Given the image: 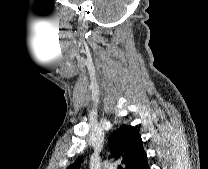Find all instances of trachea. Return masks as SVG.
<instances>
[{
    "label": "trachea",
    "instance_id": "trachea-1",
    "mask_svg": "<svg viewBox=\"0 0 208 169\" xmlns=\"http://www.w3.org/2000/svg\"><path fill=\"white\" fill-rule=\"evenodd\" d=\"M118 169H122V167H121V166H119V167H118Z\"/></svg>",
    "mask_w": 208,
    "mask_h": 169
}]
</instances>
